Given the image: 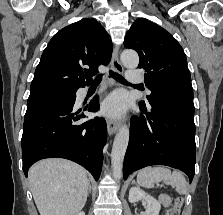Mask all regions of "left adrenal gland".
Masks as SVG:
<instances>
[{
    "label": "left adrenal gland",
    "instance_id": "obj_1",
    "mask_svg": "<svg viewBox=\"0 0 223 215\" xmlns=\"http://www.w3.org/2000/svg\"><path fill=\"white\" fill-rule=\"evenodd\" d=\"M132 183H136L135 179H133Z\"/></svg>",
    "mask_w": 223,
    "mask_h": 215
}]
</instances>
